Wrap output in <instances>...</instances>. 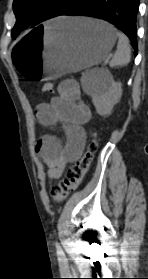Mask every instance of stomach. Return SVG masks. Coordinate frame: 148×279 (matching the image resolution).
I'll return each instance as SVG.
<instances>
[{
  "mask_svg": "<svg viewBox=\"0 0 148 279\" xmlns=\"http://www.w3.org/2000/svg\"><path fill=\"white\" fill-rule=\"evenodd\" d=\"M116 39L113 26L90 18L60 17L38 24L12 45L16 78L53 82L92 67L106 58Z\"/></svg>",
  "mask_w": 148,
  "mask_h": 279,
  "instance_id": "stomach-1",
  "label": "stomach"
}]
</instances>
